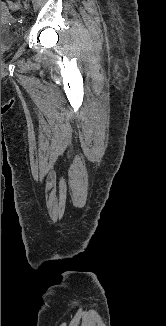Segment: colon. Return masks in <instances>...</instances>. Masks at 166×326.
Returning a JSON list of instances; mask_svg holds the SVG:
<instances>
[{
    "mask_svg": "<svg viewBox=\"0 0 166 326\" xmlns=\"http://www.w3.org/2000/svg\"><path fill=\"white\" fill-rule=\"evenodd\" d=\"M7 4H8V7L12 10H15L19 7L18 3L11 1V0H7Z\"/></svg>",
    "mask_w": 166,
    "mask_h": 326,
    "instance_id": "colon-1",
    "label": "colon"
}]
</instances>
